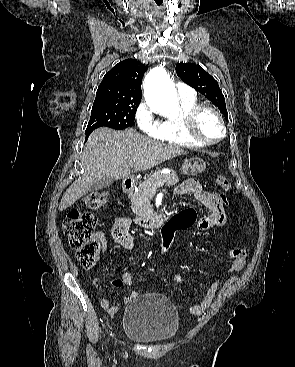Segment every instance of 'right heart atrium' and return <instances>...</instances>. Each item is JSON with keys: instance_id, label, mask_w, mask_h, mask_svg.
<instances>
[{"instance_id": "1", "label": "right heart atrium", "mask_w": 295, "mask_h": 367, "mask_svg": "<svg viewBox=\"0 0 295 367\" xmlns=\"http://www.w3.org/2000/svg\"><path fill=\"white\" fill-rule=\"evenodd\" d=\"M135 119L138 127L152 138L159 139L164 131L163 121L158 119L149 105L142 102L137 107Z\"/></svg>"}]
</instances>
